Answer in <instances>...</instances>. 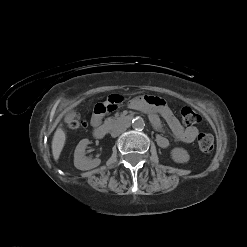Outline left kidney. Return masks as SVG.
<instances>
[{
  "instance_id": "left-kidney-1",
  "label": "left kidney",
  "mask_w": 247,
  "mask_h": 247,
  "mask_svg": "<svg viewBox=\"0 0 247 247\" xmlns=\"http://www.w3.org/2000/svg\"><path fill=\"white\" fill-rule=\"evenodd\" d=\"M171 158L176 163H187L190 156L185 149L176 147L171 150Z\"/></svg>"
}]
</instances>
